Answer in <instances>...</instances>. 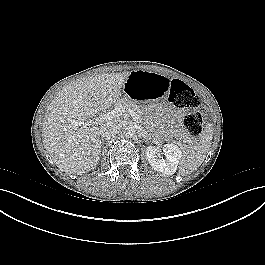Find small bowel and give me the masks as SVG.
I'll return each instance as SVG.
<instances>
[{
	"label": "small bowel",
	"instance_id": "obj_1",
	"mask_svg": "<svg viewBox=\"0 0 265 265\" xmlns=\"http://www.w3.org/2000/svg\"><path fill=\"white\" fill-rule=\"evenodd\" d=\"M181 114V112H178V115H180Z\"/></svg>",
	"mask_w": 265,
	"mask_h": 265
}]
</instances>
